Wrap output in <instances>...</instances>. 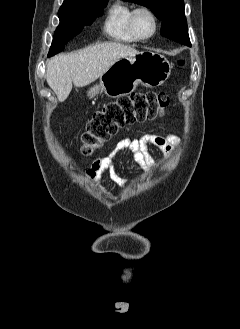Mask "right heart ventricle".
Listing matches in <instances>:
<instances>
[{
    "instance_id": "right-heart-ventricle-1",
    "label": "right heart ventricle",
    "mask_w": 240,
    "mask_h": 329,
    "mask_svg": "<svg viewBox=\"0 0 240 329\" xmlns=\"http://www.w3.org/2000/svg\"><path fill=\"white\" fill-rule=\"evenodd\" d=\"M135 7L123 0H116L108 10L105 22V32L114 40L133 42L137 39L130 30V17Z\"/></svg>"
}]
</instances>
